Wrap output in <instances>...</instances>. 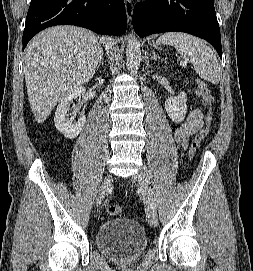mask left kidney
<instances>
[{"label":"left kidney","mask_w":253,"mask_h":271,"mask_svg":"<svg viewBox=\"0 0 253 271\" xmlns=\"http://www.w3.org/2000/svg\"><path fill=\"white\" fill-rule=\"evenodd\" d=\"M187 96L185 92H180L178 96L169 97L165 101V109L173 122H182L187 112Z\"/></svg>","instance_id":"5707ae66"}]
</instances>
